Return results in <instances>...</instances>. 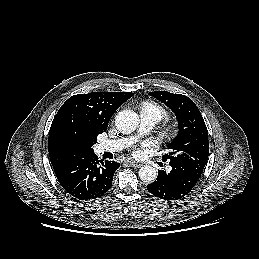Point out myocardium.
<instances>
[{"label":"myocardium","mask_w":259,"mask_h":259,"mask_svg":"<svg viewBox=\"0 0 259 259\" xmlns=\"http://www.w3.org/2000/svg\"><path fill=\"white\" fill-rule=\"evenodd\" d=\"M178 130L174 125H168L164 128L163 136L167 141H172L177 137Z\"/></svg>","instance_id":"f54148a6"}]
</instances>
